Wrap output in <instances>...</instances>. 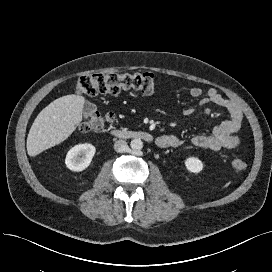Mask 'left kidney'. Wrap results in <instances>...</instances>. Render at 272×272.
I'll return each instance as SVG.
<instances>
[{"label":"left kidney","instance_id":"left-kidney-1","mask_svg":"<svg viewBox=\"0 0 272 272\" xmlns=\"http://www.w3.org/2000/svg\"><path fill=\"white\" fill-rule=\"evenodd\" d=\"M185 166L189 172L199 173L203 169L202 161L197 157H189L185 160Z\"/></svg>","mask_w":272,"mask_h":272}]
</instances>
